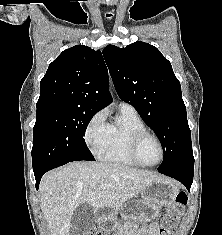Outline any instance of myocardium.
Masks as SVG:
<instances>
[{"label":"myocardium","instance_id":"myocardium-1","mask_svg":"<svg viewBox=\"0 0 222 235\" xmlns=\"http://www.w3.org/2000/svg\"><path fill=\"white\" fill-rule=\"evenodd\" d=\"M148 138L154 139L160 148V158L157 162H155L153 164H147V163L143 162L139 157V148H140L141 144ZM128 152H129L131 159L137 165L142 166V167L157 166L163 161L164 156H165V150H164V146H163L161 140L155 134H153L152 132H150L148 130L139 131L132 136L130 143H129Z\"/></svg>","mask_w":222,"mask_h":235}]
</instances>
